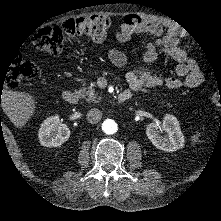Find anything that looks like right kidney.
I'll use <instances>...</instances> for the list:
<instances>
[{
    "label": "right kidney",
    "instance_id": "right-kidney-1",
    "mask_svg": "<svg viewBox=\"0 0 221 221\" xmlns=\"http://www.w3.org/2000/svg\"><path fill=\"white\" fill-rule=\"evenodd\" d=\"M71 135L69 126L60 120L59 113H51L42 120L38 128L39 143L45 147H57Z\"/></svg>",
    "mask_w": 221,
    "mask_h": 221
}]
</instances>
